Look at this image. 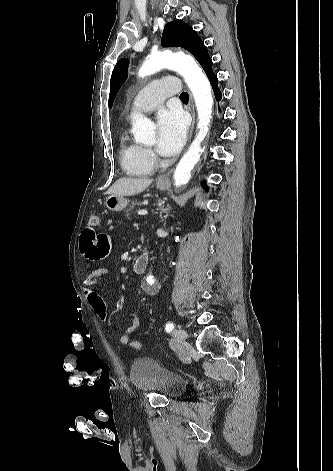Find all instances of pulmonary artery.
<instances>
[{
  "label": "pulmonary artery",
  "instance_id": "1",
  "mask_svg": "<svg viewBox=\"0 0 333 471\" xmlns=\"http://www.w3.org/2000/svg\"><path fill=\"white\" fill-rule=\"evenodd\" d=\"M179 90L178 81L173 77H164L152 81L137 94L132 104V111H153L167 97L177 94Z\"/></svg>",
  "mask_w": 333,
  "mask_h": 471
}]
</instances>
